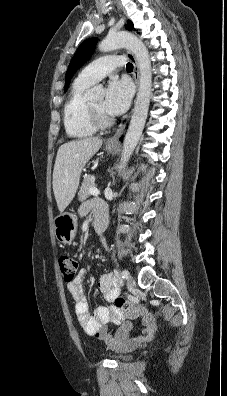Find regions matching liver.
<instances>
[{"mask_svg":"<svg viewBox=\"0 0 227 396\" xmlns=\"http://www.w3.org/2000/svg\"><path fill=\"white\" fill-rule=\"evenodd\" d=\"M101 146V138L91 137L73 140L59 147L53 170V192L60 212L73 200L82 169Z\"/></svg>","mask_w":227,"mask_h":396,"instance_id":"6515ba94","label":"liver"}]
</instances>
